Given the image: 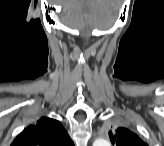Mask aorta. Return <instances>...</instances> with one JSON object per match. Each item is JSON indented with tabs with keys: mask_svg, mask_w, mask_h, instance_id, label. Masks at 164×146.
Listing matches in <instances>:
<instances>
[{
	"mask_svg": "<svg viewBox=\"0 0 164 146\" xmlns=\"http://www.w3.org/2000/svg\"><path fill=\"white\" fill-rule=\"evenodd\" d=\"M94 146H110V142L106 139H97L94 142Z\"/></svg>",
	"mask_w": 164,
	"mask_h": 146,
	"instance_id": "1",
	"label": "aorta"
}]
</instances>
